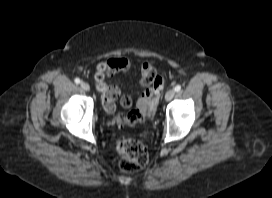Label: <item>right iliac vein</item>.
<instances>
[{"instance_id": "obj_1", "label": "right iliac vein", "mask_w": 272, "mask_h": 198, "mask_svg": "<svg viewBox=\"0 0 272 198\" xmlns=\"http://www.w3.org/2000/svg\"><path fill=\"white\" fill-rule=\"evenodd\" d=\"M80 86H81V88H82L84 91H89V90H90V86H89V84L86 83V82H81V83H80Z\"/></svg>"}]
</instances>
